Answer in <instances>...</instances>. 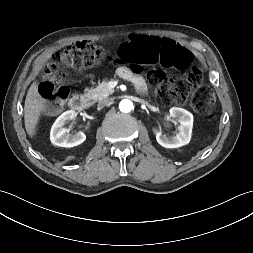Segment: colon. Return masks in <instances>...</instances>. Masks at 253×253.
<instances>
[{"label":"colon","instance_id":"5ec220e1","mask_svg":"<svg viewBox=\"0 0 253 253\" xmlns=\"http://www.w3.org/2000/svg\"><path fill=\"white\" fill-rule=\"evenodd\" d=\"M104 62H127L138 73L141 66H161L179 71L174 77L163 71L147 72V80L164 104L181 103L188 97L191 106L200 114L211 117L215 108L213 92L202 84L203 72L193 65L192 53L177 42L164 36H135L120 45L116 53L91 42H76L64 52L55 54L45 67L39 84V93L47 101L48 112L58 110L69 96L64 81L65 70L70 67H92Z\"/></svg>","mask_w":253,"mask_h":253}]
</instances>
